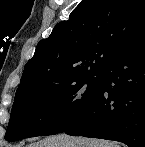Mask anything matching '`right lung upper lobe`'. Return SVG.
<instances>
[{
  "instance_id": "obj_1",
  "label": "right lung upper lobe",
  "mask_w": 145,
  "mask_h": 147,
  "mask_svg": "<svg viewBox=\"0 0 145 147\" xmlns=\"http://www.w3.org/2000/svg\"><path fill=\"white\" fill-rule=\"evenodd\" d=\"M145 34V0H82L67 21L41 40L16 93L56 89L102 70Z\"/></svg>"
}]
</instances>
